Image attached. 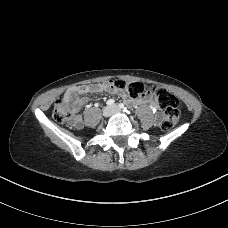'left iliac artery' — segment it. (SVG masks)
Instances as JSON below:
<instances>
[{"label":"left iliac artery","mask_w":228,"mask_h":228,"mask_svg":"<svg viewBox=\"0 0 228 228\" xmlns=\"http://www.w3.org/2000/svg\"><path fill=\"white\" fill-rule=\"evenodd\" d=\"M119 108L124 109L125 111L127 110L126 107H125V105L123 103H120L119 104Z\"/></svg>","instance_id":"obj_1"}]
</instances>
